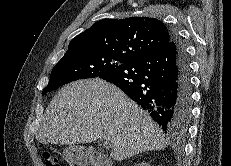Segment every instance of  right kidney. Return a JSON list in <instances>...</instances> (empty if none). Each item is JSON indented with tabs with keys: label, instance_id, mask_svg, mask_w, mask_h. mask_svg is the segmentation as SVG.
<instances>
[{
	"label": "right kidney",
	"instance_id": "1",
	"mask_svg": "<svg viewBox=\"0 0 231 166\" xmlns=\"http://www.w3.org/2000/svg\"><path fill=\"white\" fill-rule=\"evenodd\" d=\"M135 166H150V165L143 161V162H141L139 164H136Z\"/></svg>",
	"mask_w": 231,
	"mask_h": 166
}]
</instances>
